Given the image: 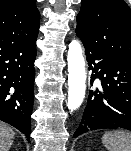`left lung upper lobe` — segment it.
I'll use <instances>...</instances> for the list:
<instances>
[{"instance_id": "obj_1", "label": "left lung upper lobe", "mask_w": 131, "mask_h": 151, "mask_svg": "<svg viewBox=\"0 0 131 151\" xmlns=\"http://www.w3.org/2000/svg\"><path fill=\"white\" fill-rule=\"evenodd\" d=\"M76 33L84 43L131 64V9L123 0H81Z\"/></svg>"}]
</instances>
